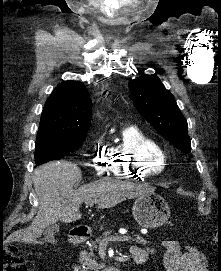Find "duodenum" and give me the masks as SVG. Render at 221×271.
Listing matches in <instances>:
<instances>
[{
    "instance_id": "410a0bca",
    "label": "duodenum",
    "mask_w": 221,
    "mask_h": 271,
    "mask_svg": "<svg viewBox=\"0 0 221 271\" xmlns=\"http://www.w3.org/2000/svg\"><path fill=\"white\" fill-rule=\"evenodd\" d=\"M89 237H90L89 230L77 229L71 232L70 240L71 243L74 245H81L86 243ZM133 259L137 264H141L146 260L145 257H135ZM73 271H85V269L80 265H74ZM102 271H120V270L117 266H108L104 268Z\"/></svg>"
}]
</instances>
